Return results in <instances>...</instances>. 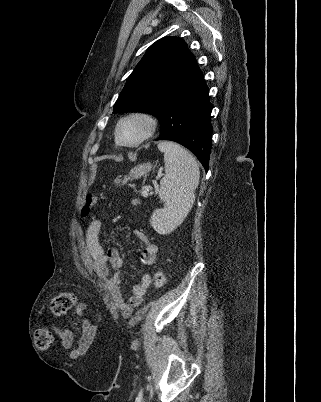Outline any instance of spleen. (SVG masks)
<instances>
[{
	"label": "spleen",
	"mask_w": 321,
	"mask_h": 402,
	"mask_svg": "<svg viewBox=\"0 0 321 402\" xmlns=\"http://www.w3.org/2000/svg\"><path fill=\"white\" fill-rule=\"evenodd\" d=\"M158 149L164 153L165 175L159 189L164 207L154 210L150 223L158 233L167 234L183 221L192 208L200 171L196 159L177 143L161 141Z\"/></svg>",
	"instance_id": "1"
}]
</instances>
